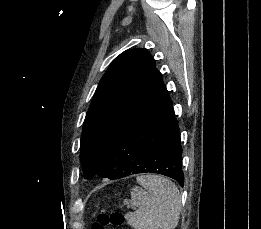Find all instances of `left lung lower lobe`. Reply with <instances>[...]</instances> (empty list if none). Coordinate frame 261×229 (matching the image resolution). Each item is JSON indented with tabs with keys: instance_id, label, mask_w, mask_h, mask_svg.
I'll return each mask as SVG.
<instances>
[{
	"instance_id": "obj_1",
	"label": "left lung lower lobe",
	"mask_w": 261,
	"mask_h": 229,
	"mask_svg": "<svg viewBox=\"0 0 261 229\" xmlns=\"http://www.w3.org/2000/svg\"><path fill=\"white\" fill-rule=\"evenodd\" d=\"M143 172L162 174L184 185L179 127L165 86L115 140L97 174L119 179Z\"/></svg>"
}]
</instances>
